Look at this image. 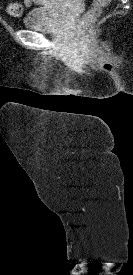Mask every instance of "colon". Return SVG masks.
<instances>
[{
    "label": "colon",
    "instance_id": "1",
    "mask_svg": "<svg viewBox=\"0 0 133 275\" xmlns=\"http://www.w3.org/2000/svg\"><path fill=\"white\" fill-rule=\"evenodd\" d=\"M106 3L107 2L105 0H94L93 6L89 10L88 15L90 17H97ZM7 11L11 16L18 17L22 14V6L18 3H10L7 7Z\"/></svg>",
    "mask_w": 133,
    "mask_h": 275
}]
</instances>
